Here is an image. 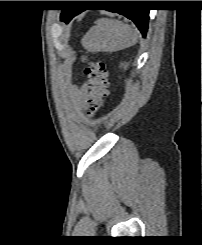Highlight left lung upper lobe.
Segmentation results:
<instances>
[{
    "mask_svg": "<svg viewBox=\"0 0 202 245\" xmlns=\"http://www.w3.org/2000/svg\"><path fill=\"white\" fill-rule=\"evenodd\" d=\"M65 17H62V15H61V20L63 21V19H64Z\"/></svg>",
    "mask_w": 202,
    "mask_h": 245,
    "instance_id": "left-lung-upper-lobe-1",
    "label": "left lung upper lobe"
}]
</instances>
